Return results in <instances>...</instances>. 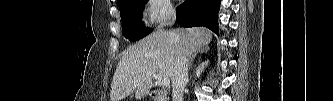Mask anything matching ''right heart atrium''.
<instances>
[{
	"instance_id": "1",
	"label": "right heart atrium",
	"mask_w": 333,
	"mask_h": 101,
	"mask_svg": "<svg viewBox=\"0 0 333 101\" xmlns=\"http://www.w3.org/2000/svg\"><path fill=\"white\" fill-rule=\"evenodd\" d=\"M146 12L148 22L154 25H164L174 16V10L169 0L148 1Z\"/></svg>"
}]
</instances>
